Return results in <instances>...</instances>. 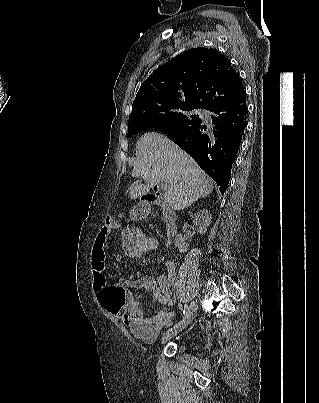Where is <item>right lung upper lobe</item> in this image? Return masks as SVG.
Returning <instances> with one entry per match:
<instances>
[{"mask_svg": "<svg viewBox=\"0 0 319 403\" xmlns=\"http://www.w3.org/2000/svg\"><path fill=\"white\" fill-rule=\"evenodd\" d=\"M246 100L239 74L212 48L189 49L156 69L140 86L129 119L162 104L206 110Z\"/></svg>", "mask_w": 319, "mask_h": 403, "instance_id": "right-lung-upper-lobe-1", "label": "right lung upper lobe"}]
</instances>
